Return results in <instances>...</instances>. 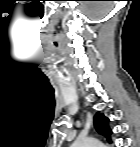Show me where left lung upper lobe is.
Wrapping results in <instances>:
<instances>
[{
    "label": "left lung upper lobe",
    "mask_w": 140,
    "mask_h": 147,
    "mask_svg": "<svg viewBox=\"0 0 140 147\" xmlns=\"http://www.w3.org/2000/svg\"><path fill=\"white\" fill-rule=\"evenodd\" d=\"M109 120L102 113H97L94 117V125L97 132L108 138L109 141L111 135V129L108 126Z\"/></svg>",
    "instance_id": "5c2ea615"
}]
</instances>
